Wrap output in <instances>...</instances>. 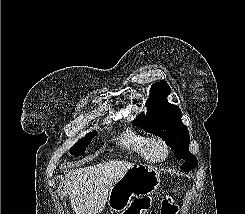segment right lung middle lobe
<instances>
[{"mask_svg": "<svg viewBox=\"0 0 245 214\" xmlns=\"http://www.w3.org/2000/svg\"><path fill=\"white\" fill-rule=\"evenodd\" d=\"M97 134L96 131L89 133L86 137L82 138L71 148V154L80 156L85 153L86 146L91 142L92 138Z\"/></svg>", "mask_w": 245, "mask_h": 214, "instance_id": "right-lung-middle-lobe-1", "label": "right lung middle lobe"}]
</instances>
